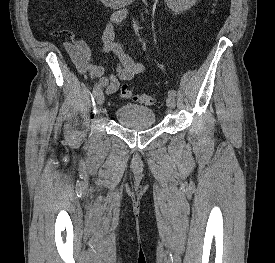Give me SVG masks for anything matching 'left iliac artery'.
Masks as SVG:
<instances>
[{
	"mask_svg": "<svg viewBox=\"0 0 275 263\" xmlns=\"http://www.w3.org/2000/svg\"><path fill=\"white\" fill-rule=\"evenodd\" d=\"M168 96L175 97L176 96V91L175 90H169L168 91Z\"/></svg>",
	"mask_w": 275,
	"mask_h": 263,
	"instance_id": "1",
	"label": "left iliac artery"
}]
</instances>
